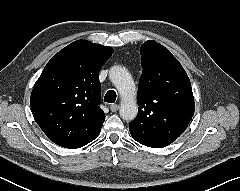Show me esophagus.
<instances>
[{"mask_svg":"<svg viewBox=\"0 0 240 191\" xmlns=\"http://www.w3.org/2000/svg\"><path fill=\"white\" fill-rule=\"evenodd\" d=\"M118 109H119V105H118V104H112V105L110 106V110H111L112 112H116V111H118Z\"/></svg>","mask_w":240,"mask_h":191,"instance_id":"1","label":"esophagus"}]
</instances>
